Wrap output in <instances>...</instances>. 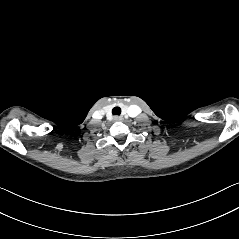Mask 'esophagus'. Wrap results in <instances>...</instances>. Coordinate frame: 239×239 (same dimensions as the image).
I'll return each mask as SVG.
<instances>
[{
	"mask_svg": "<svg viewBox=\"0 0 239 239\" xmlns=\"http://www.w3.org/2000/svg\"><path fill=\"white\" fill-rule=\"evenodd\" d=\"M114 120H115V121H121V120H123V118H122L121 116H115V117H114Z\"/></svg>",
	"mask_w": 239,
	"mask_h": 239,
	"instance_id": "obj_1",
	"label": "esophagus"
}]
</instances>
